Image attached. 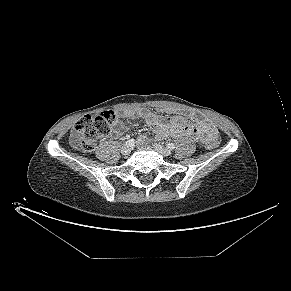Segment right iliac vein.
Listing matches in <instances>:
<instances>
[{"label":"right iliac vein","instance_id":"obj_1","mask_svg":"<svg viewBox=\"0 0 291 291\" xmlns=\"http://www.w3.org/2000/svg\"><path fill=\"white\" fill-rule=\"evenodd\" d=\"M131 152V147L128 146V145H124L122 148H121V153L123 155H129Z\"/></svg>","mask_w":291,"mask_h":291}]
</instances>
